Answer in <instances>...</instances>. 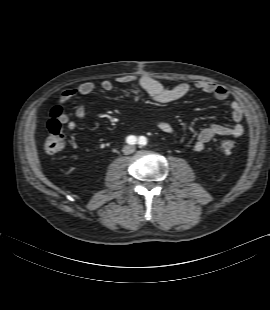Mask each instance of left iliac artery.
<instances>
[{"instance_id":"obj_1","label":"left iliac artery","mask_w":270,"mask_h":310,"mask_svg":"<svg viewBox=\"0 0 270 310\" xmlns=\"http://www.w3.org/2000/svg\"><path fill=\"white\" fill-rule=\"evenodd\" d=\"M138 143L140 145H145L147 143V139L144 136H141Z\"/></svg>"}]
</instances>
